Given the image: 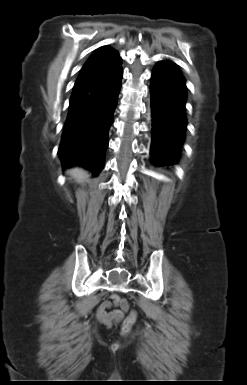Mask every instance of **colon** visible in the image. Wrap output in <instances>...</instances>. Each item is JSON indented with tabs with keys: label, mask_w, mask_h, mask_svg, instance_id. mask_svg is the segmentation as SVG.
Instances as JSON below:
<instances>
[{
	"label": "colon",
	"mask_w": 247,
	"mask_h": 385,
	"mask_svg": "<svg viewBox=\"0 0 247 385\" xmlns=\"http://www.w3.org/2000/svg\"><path fill=\"white\" fill-rule=\"evenodd\" d=\"M127 308L128 306H126V309ZM136 320H137V312L135 310H131L122 322L121 332L125 335L129 334Z\"/></svg>",
	"instance_id": "colon-1"
}]
</instances>
